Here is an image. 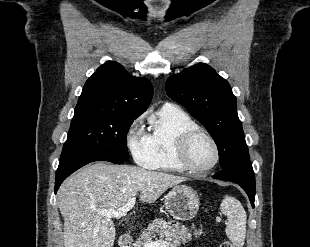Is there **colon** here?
<instances>
[{"mask_svg": "<svg viewBox=\"0 0 310 247\" xmlns=\"http://www.w3.org/2000/svg\"><path fill=\"white\" fill-rule=\"evenodd\" d=\"M220 247H235V246L229 241H223Z\"/></svg>", "mask_w": 310, "mask_h": 247, "instance_id": "5ec220e1", "label": "colon"}]
</instances>
